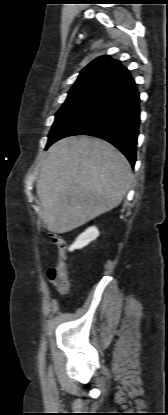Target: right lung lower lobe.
<instances>
[{"instance_id": "obj_1", "label": "right lung lower lobe", "mask_w": 168, "mask_h": 415, "mask_svg": "<svg viewBox=\"0 0 168 415\" xmlns=\"http://www.w3.org/2000/svg\"><path fill=\"white\" fill-rule=\"evenodd\" d=\"M139 103L136 83L129 74L74 114L48 140L47 147L67 136H95L117 147L134 167L140 124Z\"/></svg>"}]
</instances>
